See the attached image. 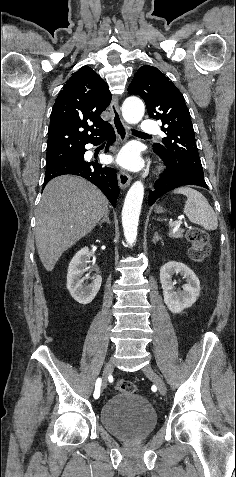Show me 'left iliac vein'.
<instances>
[{
	"instance_id": "left-iliac-vein-1",
	"label": "left iliac vein",
	"mask_w": 236,
	"mask_h": 477,
	"mask_svg": "<svg viewBox=\"0 0 236 477\" xmlns=\"http://www.w3.org/2000/svg\"><path fill=\"white\" fill-rule=\"evenodd\" d=\"M144 374L150 378L157 386L158 391L161 395H165L167 392V387L164 380L154 371L151 365H146L143 368Z\"/></svg>"
}]
</instances>
